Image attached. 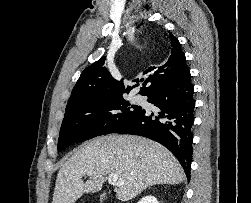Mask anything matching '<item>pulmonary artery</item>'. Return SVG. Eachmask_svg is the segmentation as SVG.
Listing matches in <instances>:
<instances>
[{
    "label": "pulmonary artery",
    "instance_id": "obj_1",
    "mask_svg": "<svg viewBox=\"0 0 251 203\" xmlns=\"http://www.w3.org/2000/svg\"><path fill=\"white\" fill-rule=\"evenodd\" d=\"M141 99V97L140 96H136V100H140Z\"/></svg>",
    "mask_w": 251,
    "mask_h": 203
}]
</instances>
